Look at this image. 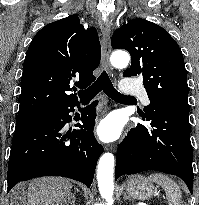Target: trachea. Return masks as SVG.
<instances>
[{
	"label": "trachea",
	"mask_w": 199,
	"mask_h": 205,
	"mask_svg": "<svg viewBox=\"0 0 199 205\" xmlns=\"http://www.w3.org/2000/svg\"><path fill=\"white\" fill-rule=\"evenodd\" d=\"M101 90L113 100H122L130 98L119 93L113 86L106 71H103L98 79L87 89L78 91L81 100H90L94 98Z\"/></svg>",
	"instance_id": "obj_1"
}]
</instances>
